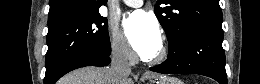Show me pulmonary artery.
I'll return each instance as SVG.
<instances>
[{"label": "pulmonary artery", "instance_id": "pulmonary-artery-1", "mask_svg": "<svg viewBox=\"0 0 260 84\" xmlns=\"http://www.w3.org/2000/svg\"><path fill=\"white\" fill-rule=\"evenodd\" d=\"M124 3L127 4L130 7H139L140 5H142L143 1H141V0H125Z\"/></svg>", "mask_w": 260, "mask_h": 84}]
</instances>
